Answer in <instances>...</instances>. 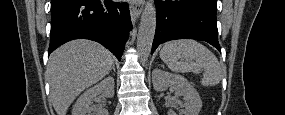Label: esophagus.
<instances>
[{"label": "esophagus", "mask_w": 285, "mask_h": 115, "mask_svg": "<svg viewBox=\"0 0 285 115\" xmlns=\"http://www.w3.org/2000/svg\"><path fill=\"white\" fill-rule=\"evenodd\" d=\"M130 14L132 23L135 24L136 20L139 18L142 9L143 1L142 0H131L129 2Z\"/></svg>", "instance_id": "esophagus-1"}]
</instances>
